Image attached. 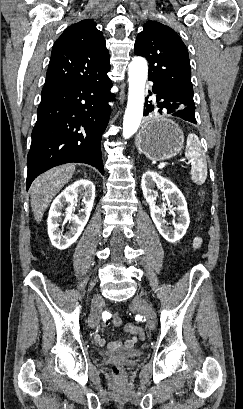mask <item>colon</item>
<instances>
[{"instance_id": "5ec220e1", "label": "colon", "mask_w": 243, "mask_h": 409, "mask_svg": "<svg viewBox=\"0 0 243 409\" xmlns=\"http://www.w3.org/2000/svg\"><path fill=\"white\" fill-rule=\"evenodd\" d=\"M112 322L116 326H120L122 324V320H121V317L119 316V314L115 313L113 315ZM124 329L128 333L136 334L141 339H144V337H145V333H144L143 329L141 327L137 326V325L129 323V324H126L124 326ZM112 373L115 376H120L122 374V368L119 365H113L112 366Z\"/></svg>"}]
</instances>
